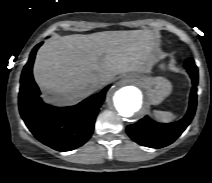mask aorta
Here are the masks:
<instances>
[{
  "label": "aorta",
  "mask_w": 212,
  "mask_h": 183,
  "mask_svg": "<svg viewBox=\"0 0 212 183\" xmlns=\"http://www.w3.org/2000/svg\"><path fill=\"white\" fill-rule=\"evenodd\" d=\"M113 104L123 117H131L142 105L141 91L134 86L117 89L113 95Z\"/></svg>",
  "instance_id": "aorta-1"
}]
</instances>
